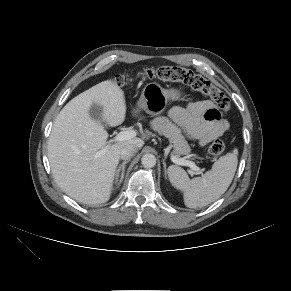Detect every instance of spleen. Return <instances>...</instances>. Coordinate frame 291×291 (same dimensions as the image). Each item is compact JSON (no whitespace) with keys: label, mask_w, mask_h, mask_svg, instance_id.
Instances as JSON below:
<instances>
[{"label":"spleen","mask_w":291,"mask_h":291,"mask_svg":"<svg viewBox=\"0 0 291 291\" xmlns=\"http://www.w3.org/2000/svg\"><path fill=\"white\" fill-rule=\"evenodd\" d=\"M237 149L217 160L202 177L190 179L181 167L168 168L171 184L183 192L188 208L204 207L219 199L230 186L238 164Z\"/></svg>","instance_id":"obj_1"}]
</instances>
